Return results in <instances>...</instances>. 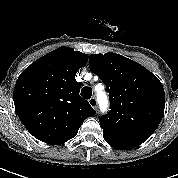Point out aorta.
<instances>
[{"label": "aorta", "instance_id": "obj_1", "mask_svg": "<svg viewBox=\"0 0 178 178\" xmlns=\"http://www.w3.org/2000/svg\"><path fill=\"white\" fill-rule=\"evenodd\" d=\"M97 99L99 103L100 110L102 112H105L108 107V98L107 95L104 92H98Z\"/></svg>", "mask_w": 178, "mask_h": 178}]
</instances>
